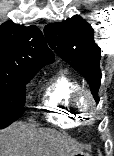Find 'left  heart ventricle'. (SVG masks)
Segmentation results:
<instances>
[{
    "label": "left heart ventricle",
    "instance_id": "1",
    "mask_svg": "<svg viewBox=\"0 0 114 156\" xmlns=\"http://www.w3.org/2000/svg\"><path fill=\"white\" fill-rule=\"evenodd\" d=\"M81 105H82L84 108L88 109L89 106H90L89 100H88L86 97H83V98L81 99Z\"/></svg>",
    "mask_w": 114,
    "mask_h": 156
}]
</instances>
